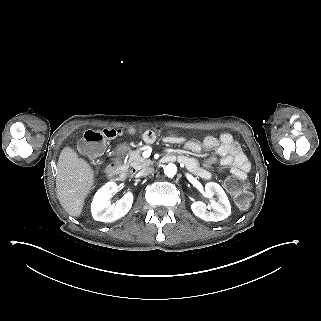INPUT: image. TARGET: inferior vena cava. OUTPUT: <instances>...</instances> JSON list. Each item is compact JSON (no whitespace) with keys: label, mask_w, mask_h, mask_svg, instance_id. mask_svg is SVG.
Returning <instances> with one entry per match:
<instances>
[{"label":"inferior vena cava","mask_w":321,"mask_h":321,"mask_svg":"<svg viewBox=\"0 0 321 321\" xmlns=\"http://www.w3.org/2000/svg\"><path fill=\"white\" fill-rule=\"evenodd\" d=\"M154 172V168L153 167H146L142 170L139 171L138 176L139 177H147L150 174H152Z\"/></svg>","instance_id":"inferior-vena-cava-1"}]
</instances>
